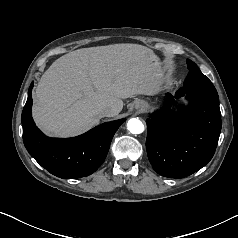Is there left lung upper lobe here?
<instances>
[{"label": "left lung upper lobe", "mask_w": 238, "mask_h": 238, "mask_svg": "<svg viewBox=\"0 0 238 238\" xmlns=\"http://www.w3.org/2000/svg\"><path fill=\"white\" fill-rule=\"evenodd\" d=\"M187 67L189 73L184 82V87H186L187 91H200L211 95H218L209 78L202 74L194 62L188 59Z\"/></svg>", "instance_id": "1"}]
</instances>
